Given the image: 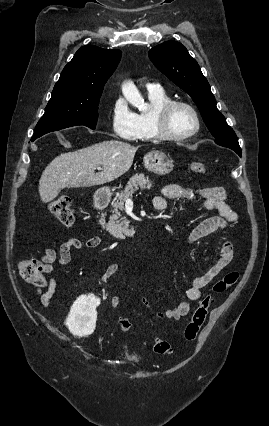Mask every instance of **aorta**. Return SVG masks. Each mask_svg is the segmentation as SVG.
I'll use <instances>...</instances> for the list:
<instances>
[{
  "instance_id": "762f6f07",
  "label": "aorta",
  "mask_w": 269,
  "mask_h": 426,
  "mask_svg": "<svg viewBox=\"0 0 269 426\" xmlns=\"http://www.w3.org/2000/svg\"><path fill=\"white\" fill-rule=\"evenodd\" d=\"M122 93L126 100L133 106L137 107L139 111H147L149 106L144 102L139 90L132 83H125L122 86Z\"/></svg>"
}]
</instances>
